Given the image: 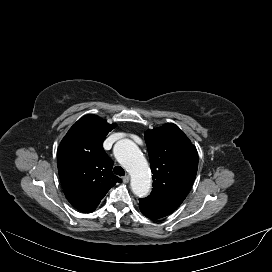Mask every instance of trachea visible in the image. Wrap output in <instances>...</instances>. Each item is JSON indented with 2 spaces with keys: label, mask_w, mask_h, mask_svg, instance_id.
Listing matches in <instances>:
<instances>
[{
  "label": "trachea",
  "mask_w": 272,
  "mask_h": 272,
  "mask_svg": "<svg viewBox=\"0 0 272 272\" xmlns=\"http://www.w3.org/2000/svg\"><path fill=\"white\" fill-rule=\"evenodd\" d=\"M113 171H114V173L116 175H119V176H124L125 175L124 169L122 167H120V166H116Z\"/></svg>",
  "instance_id": "1"
}]
</instances>
